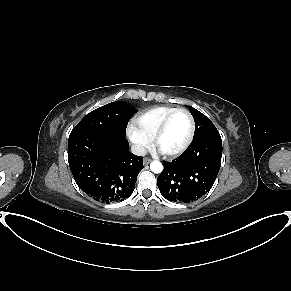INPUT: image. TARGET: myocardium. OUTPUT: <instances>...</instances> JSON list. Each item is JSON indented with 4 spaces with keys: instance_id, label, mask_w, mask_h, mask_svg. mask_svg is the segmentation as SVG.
Listing matches in <instances>:
<instances>
[{
    "instance_id": "myocardium-1",
    "label": "myocardium",
    "mask_w": 291,
    "mask_h": 291,
    "mask_svg": "<svg viewBox=\"0 0 291 291\" xmlns=\"http://www.w3.org/2000/svg\"><path fill=\"white\" fill-rule=\"evenodd\" d=\"M177 113H185L190 121V130H189V135L187 140L185 141V143L178 149L174 150V151H169V152H165L159 149L158 147V143L161 139V137L163 136V134L165 133L168 123L171 120V118L177 114ZM194 134H195V120L193 118V115L190 113L189 110L185 109V108H177L173 111H171L161 122V124L159 125L158 129L156 130L155 134L152 137V144L153 146L165 157H176L180 154H182L183 152H185L189 146L191 145L193 139H194Z\"/></svg>"
}]
</instances>
